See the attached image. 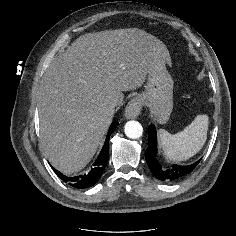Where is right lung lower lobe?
<instances>
[{"mask_svg":"<svg viewBox=\"0 0 236 236\" xmlns=\"http://www.w3.org/2000/svg\"><path fill=\"white\" fill-rule=\"evenodd\" d=\"M118 125V122H112L109 131L107 133V137L104 143V146L97 158V160L94 162L91 170L84 175H79L75 177H67L63 175L61 172L54 169V172L61 178L64 182L71 185L72 187L83 189L88 188L94 185L99 178L101 177L104 168L106 166V163L108 161V154H109V138L111 134L114 132Z\"/></svg>","mask_w":236,"mask_h":236,"instance_id":"obj_1","label":"right lung lower lobe"}]
</instances>
